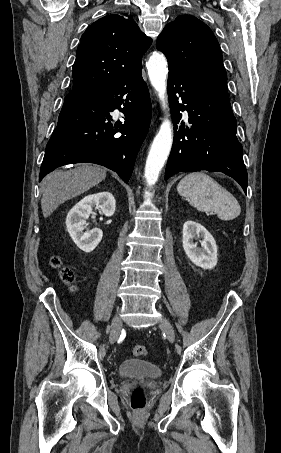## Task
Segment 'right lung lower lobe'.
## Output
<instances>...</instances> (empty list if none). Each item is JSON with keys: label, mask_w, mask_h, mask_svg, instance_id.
<instances>
[{"label": "right lung lower lobe", "mask_w": 281, "mask_h": 453, "mask_svg": "<svg viewBox=\"0 0 281 453\" xmlns=\"http://www.w3.org/2000/svg\"><path fill=\"white\" fill-rule=\"evenodd\" d=\"M141 70L142 66L137 67L113 85L75 88L65 97L39 181L57 167L85 162L105 166L128 182L151 119ZM115 109L124 114L123 123H111Z\"/></svg>", "instance_id": "98d812e1"}]
</instances>
